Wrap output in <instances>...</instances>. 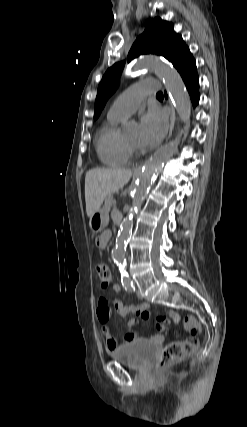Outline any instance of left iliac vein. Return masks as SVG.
<instances>
[{"mask_svg": "<svg viewBox=\"0 0 247 427\" xmlns=\"http://www.w3.org/2000/svg\"><path fill=\"white\" fill-rule=\"evenodd\" d=\"M136 295H137V297H138V298H140V299H142V298H143V295H142V293H141V291H140L139 289H137V290H136Z\"/></svg>", "mask_w": 247, "mask_h": 427, "instance_id": "4c4485c4", "label": "left iliac vein"}]
</instances>
